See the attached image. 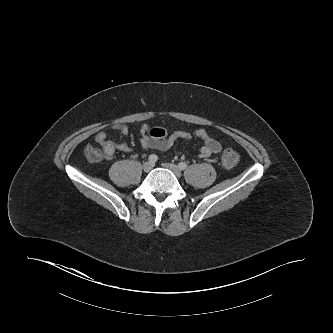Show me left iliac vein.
<instances>
[{
	"label": "left iliac vein",
	"instance_id": "left-iliac-vein-1",
	"mask_svg": "<svg viewBox=\"0 0 333 333\" xmlns=\"http://www.w3.org/2000/svg\"><path fill=\"white\" fill-rule=\"evenodd\" d=\"M162 166L166 169L171 170L176 177L179 178L181 176V169L177 165L172 163H162Z\"/></svg>",
	"mask_w": 333,
	"mask_h": 333
}]
</instances>
